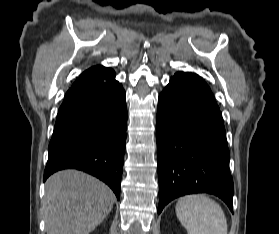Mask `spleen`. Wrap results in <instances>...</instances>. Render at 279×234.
<instances>
[{
	"label": "spleen",
	"instance_id": "1",
	"mask_svg": "<svg viewBox=\"0 0 279 234\" xmlns=\"http://www.w3.org/2000/svg\"><path fill=\"white\" fill-rule=\"evenodd\" d=\"M175 211L188 234H227V221L221 206L205 195L180 198Z\"/></svg>",
	"mask_w": 279,
	"mask_h": 234
}]
</instances>
